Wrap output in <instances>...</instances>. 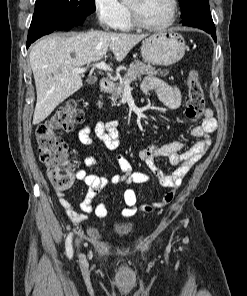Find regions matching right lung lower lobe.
<instances>
[{
    "instance_id": "98d812e1",
    "label": "right lung lower lobe",
    "mask_w": 247,
    "mask_h": 296,
    "mask_svg": "<svg viewBox=\"0 0 247 296\" xmlns=\"http://www.w3.org/2000/svg\"><path fill=\"white\" fill-rule=\"evenodd\" d=\"M85 19L86 18H83L78 21H73L69 19H60L57 16H51L42 21L31 23L30 29L28 32L27 48L31 45V43H33L35 40H37L41 36L49 34L55 30L70 29L76 25L82 24Z\"/></svg>"
}]
</instances>
